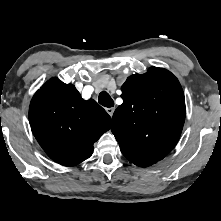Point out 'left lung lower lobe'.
Segmentation results:
<instances>
[{
	"label": "left lung lower lobe",
	"mask_w": 221,
	"mask_h": 221,
	"mask_svg": "<svg viewBox=\"0 0 221 221\" xmlns=\"http://www.w3.org/2000/svg\"><path fill=\"white\" fill-rule=\"evenodd\" d=\"M134 164L138 165V166H141V167H147L149 165H145V164H142L140 162H137V161H132Z\"/></svg>",
	"instance_id": "1"
}]
</instances>
